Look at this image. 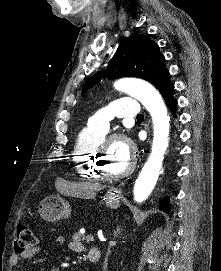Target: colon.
Masks as SVG:
<instances>
[{"label": "colon", "mask_w": 221, "mask_h": 271, "mask_svg": "<svg viewBox=\"0 0 221 271\" xmlns=\"http://www.w3.org/2000/svg\"><path fill=\"white\" fill-rule=\"evenodd\" d=\"M35 244L36 236L30 226L26 223H20L16 234L15 251L18 253L23 252Z\"/></svg>", "instance_id": "colon-1"}]
</instances>
